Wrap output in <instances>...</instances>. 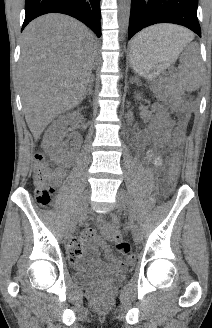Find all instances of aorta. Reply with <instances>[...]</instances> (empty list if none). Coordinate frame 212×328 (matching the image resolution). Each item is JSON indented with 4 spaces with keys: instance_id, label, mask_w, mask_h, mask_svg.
Returning a JSON list of instances; mask_svg holds the SVG:
<instances>
[{
    "instance_id": "obj_1",
    "label": "aorta",
    "mask_w": 212,
    "mask_h": 328,
    "mask_svg": "<svg viewBox=\"0 0 212 328\" xmlns=\"http://www.w3.org/2000/svg\"><path fill=\"white\" fill-rule=\"evenodd\" d=\"M131 0H119V25L121 34H125L128 29L130 18Z\"/></svg>"
}]
</instances>
